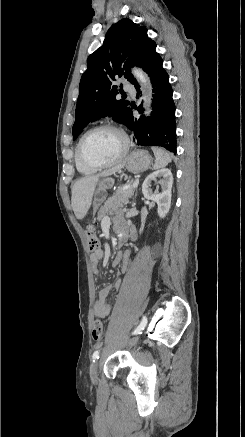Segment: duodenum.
Wrapping results in <instances>:
<instances>
[{
  "label": "duodenum",
  "mask_w": 245,
  "mask_h": 437,
  "mask_svg": "<svg viewBox=\"0 0 245 437\" xmlns=\"http://www.w3.org/2000/svg\"><path fill=\"white\" fill-rule=\"evenodd\" d=\"M125 239H126V238H125L123 232H120V234H119V240H120V242H123Z\"/></svg>",
  "instance_id": "obj_1"
}]
</instances>
